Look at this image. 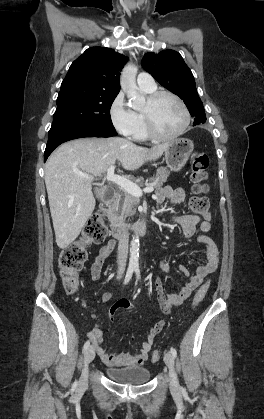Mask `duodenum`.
<instances>
[{
	"label": "duodenum",
	"instance_id": "1",
	"mask_svg": "<svg viewBox=\"0 0 264 419\" xmlns=\"http://www.w3.org/2000/svg\"><path fill=\"white\" fill-rule=\"evenodd\" d=\"M117 198V192H111L103 199L100 204V211L105 214L109 220L111 235L116 239H121L125 236L127 231H131L138 235L146 234L148 231L147 221L140 220L130 226H127L113 215L112 208Z\"/></svg>",
	"mask_w": 264,
	"mask_h": 419
}]
</instances>
